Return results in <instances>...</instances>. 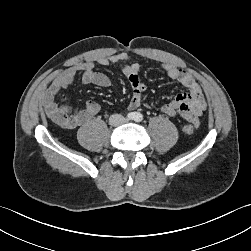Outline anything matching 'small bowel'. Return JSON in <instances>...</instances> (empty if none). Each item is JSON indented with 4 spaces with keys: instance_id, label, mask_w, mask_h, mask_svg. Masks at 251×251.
I'll list each match as a JSON object with an SVG mask.
<instances>
[{
    "instance_id": "obj_1",
    "label": "small bowel",
    "mask_w": 251,
    "mask_h": 251,
    "mask_svg": "<svg viewBox=\"0 0 251 251\" xmlns=\"http://www.w3.org/2000/svg\"><path fill=\"white\" fill-rule=\"evenodd\" d=\"M96 64L100 66H120L121 72L127 77L132 88L128 108L135 110L141 106L143 93L146 90V85L139 77L141 66L137 62H130L126 53H116L99 57L96 61L80 63L65 70L51 81L41 101L52 120L56 122V114L65 115L69 119V127L75 128L97 115L100 105L95 101H87L81 108L60 105L55 101L56 95L72 85L77 76H80L86 84H93L102 88L109 87L111 85L110 78L102 72L95 71ZM161 68L171 80L181 84L187 91L177 94L169 103L162 105L161 112L169 117L179 116L198 126L200 116L206 109V100L200 85L189 73L172 63H162ZM146 106L149 107L150 104L146 103Z\"/></svg>"
}]
</instances>
